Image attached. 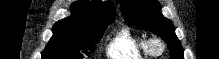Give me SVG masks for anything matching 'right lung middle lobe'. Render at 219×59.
I'll return each instance as SVG.
<instances>
[{"instance_id":"right-lung-middle-lobe-1","label":"right lung middle lobe","mask_w":219,"mask_h":59,"mask_svg":"<svg viewBox=\"0 0 219 59\" xmlns=\"http://www.w3.org/2000/svg\"><path fill=\"white\" fill-rule=\"evenodd\" d=\"M107 26L87 28L56 23L42 59H83L96 49Z\"/></svg>"}]
</instances>
